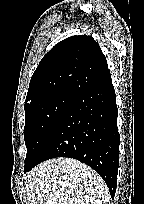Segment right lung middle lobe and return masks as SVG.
Instances as JSON below:
<instances>
[{
	"label": "right lung middle lobe",
	"mask_w": 144,
	"mask_h": 204,
	"mask_svg": "<svg viewBox=\"0 0 144 204\" xmlns=\"http://www.w3.org/2000/svg\"><path fill=\"white\" fill-rule=\"evenodd\" d=\"M75 95L61 93L39 101L25 109L24 139L27 147L25 170L52 132Z\"/></svg>",
	"instance_id": "obj_1"
}]
</instances>
